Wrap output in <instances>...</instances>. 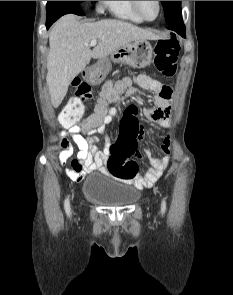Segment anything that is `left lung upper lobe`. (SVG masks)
<instances>
[{"label": "left lung upper lobe", "mask_w": 233, "mask_h": 295, "mask_svg": "<svg viewBox=\"0 0 233 295\" xmlns=\"http://www.w3.org/2000/svg\"><path fill=\"white\" fill-rule=\"evenodd\" d=\"M164 12L165 20L168 25L182 21L181 14V1H161Z\"/></svg>", "instance_id": "1"}]
</instances>
